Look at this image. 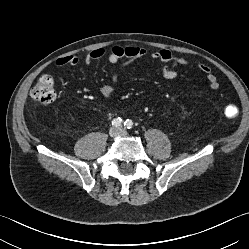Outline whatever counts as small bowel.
I'll return each mask as SVG.
<instances>
[{
	"label": "small bowel",
	"mask_w": 249,
	"mask_h": 249,
	"mask_svg": "<svg viewBox=\"0 0 249 249\" xmlns=\"http://www.w3.org/2000/svg\"><path fill=\"white\" fill-rule=\"evenodd\" d=\"M148 55L151 59L161 63V74L166 79H174L177 76L179 67L188 66L191 63L188 59L176 55L168 49H158L148 53L145 48L140 46H114L108 52L102 48H96L84 56L83 62L85 64H90L104 56L107 57L108 62L113 65V68L110 71L112 84L101 86L100 92L104 97L111 98L114 95L115 86L119 80V74L122 68L120 62L123 61V66H126L127 64ZM79 61L80 59L78 56L69 55L58 58L55 61V64L58 67L76 66ZM196 63L199 69L205 74L210 89L217 90L219 88V82L210 66L202 61H196Z\"/></svg>",
	"instance_id": "obj_1"
}]
</instances>
